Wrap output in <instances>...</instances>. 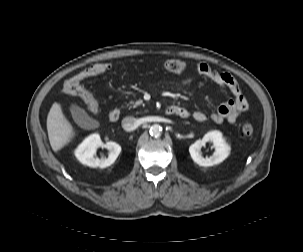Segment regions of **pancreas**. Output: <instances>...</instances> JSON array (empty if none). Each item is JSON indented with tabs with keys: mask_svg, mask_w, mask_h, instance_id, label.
<instances>
[{
	"mask_svg": "<svg viewBox=\"0 0 303 252\" xmlns=\"http://www.w3.org/2000/svg\"><path fill=\"white\" fill-rule=\"evenodd\" d=\"M143 103L142 100H137V101H130V103L127 105L129 108H132V107H137L139 105H141Z\"/></svg>",
	"mask_w": 303,
	"mask_h": 252,
	"instance_id": "cf45deb5",
	"label": "pancreas"
}]
</instances>
